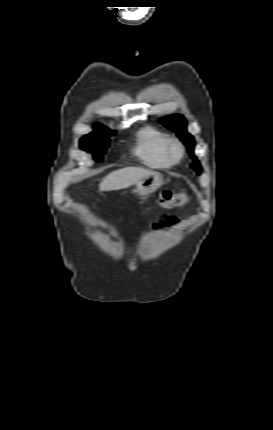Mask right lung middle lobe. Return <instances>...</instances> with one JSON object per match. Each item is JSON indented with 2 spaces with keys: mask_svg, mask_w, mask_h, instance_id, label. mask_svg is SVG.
I'll return each instance as SVG.
<instances>
[{
  "mask_svg": "<svg viewBox=\"0 0 273 430\" xmlns=\"http://www.w3.org/2000/svg\"><path fill=\"white\" fill-rule=\"evenodd\" d=\"M114 133L115 131L95 127L94 132L85 135L81 139L80 147L83 150L93 153L95 161L100 162L108 147V142L110 141L109 136H112Z\"/></svg>",
  "mask_w": 273,
  "mask_h": 430,
  "instance_id": "1",
  "label": "right lung middle lobe"
}]
</instances>
